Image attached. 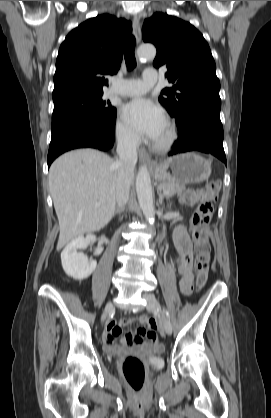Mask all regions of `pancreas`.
<instances>
[{"label": "pancreas", "instance_id": "cf45deb5", "mask_svg": "<svg viewBox=\"0 0 271 418\" xmlns=\"http://www.w3.org/2000/svg\"><path fill=\"white\" fill-rule=\"evenodd\" d=\"M158 188L160 190H167L169 193L166 195L167 198H170L174 196L175 194L182 193L185 190V185L180 183H174V182H166L161 183Z\"/></svg>", "mask_w": 271, "mask_h": 418}]
</instances>
